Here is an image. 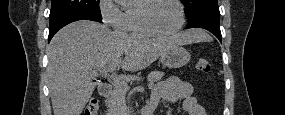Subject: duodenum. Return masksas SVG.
Returning a JSON list of instances; mask_svg holds the SVG:
<instances>
[{"instance_id":"410a0bca","label":"duodenum","mask_w":285,"mask_h":115,"mask_svg":"<svg viewBox=\"0 0 285 115\" xmlns=\"http://www.w3.org/2000/svg\"><path fill=\"white\" fill-rule=\"evenodd\" d=\"M111 91V85L108 83H103L99 86V94L101 97H107ZM148 110H152V108L149 106ZM150 114V113H147Z\"/></svg>"}]
</instances>
